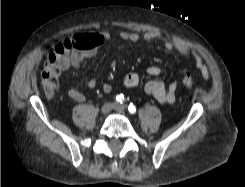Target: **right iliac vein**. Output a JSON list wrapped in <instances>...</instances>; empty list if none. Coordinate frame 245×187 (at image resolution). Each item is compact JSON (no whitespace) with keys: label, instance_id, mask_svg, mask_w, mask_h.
I'll list each match as a JSON object with an SVG mask.
<instances>
[{"label":"right iliac vein","instance_id":"obj_1","mask_svg":"<svg viewBox=\"0 0 245 187\" xmlns=\"http://www.w3.org/2000/svg\"><path fill=\"white\" fill-rule=\"evenodd\" d=\"M113 107H114V104H113V103H110V102L105 103V104L101 107V113H102V114H107V113H109V112L112 110Z\"/></svg>","mask_w":245,"mask_h":187}]
</instances>
